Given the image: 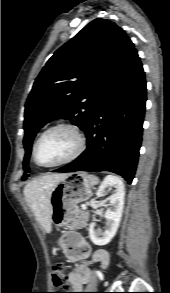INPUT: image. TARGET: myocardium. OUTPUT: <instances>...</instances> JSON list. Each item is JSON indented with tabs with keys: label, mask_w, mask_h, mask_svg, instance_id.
<instances>
[{
	"label": "myocardium",
	"mask_w": 170,
	"mask_h": 293,
	"mask_svg": "<svg viewBox=\"0 0 170 293\" xmlns=\"http://www.w3.org/2000/svg\"><path fill=\"white\" fill-rule=\"evenodd\" d=\"M57 128H65V129L70 130L77 138V148L70 156H68L67 158H65L59 162H56L53 164H43V163L39 162L37 159L38 144L47 133H49L50 131L57 129ZM85 147H86L85 138L79 129H77L75 126L68 124V123H57V124H53L50 127L46 128L38 136V138L35 140V142L33 144L32 156H33L35 163L38 166L44 167V168H54V167H59V166L65 165L67 163H70V162L76 160L84 152Z\"/></svg>",
	"instance_id": "myocardium-1"
}]
</instances>
